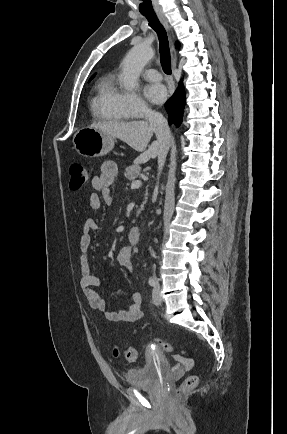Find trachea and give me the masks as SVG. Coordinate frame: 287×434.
<instances>
[{"instance_id":"1","label":"trachea","mask_w":287,"mask_h":434,"mask_svg":"<svg viewBox=\"0 0 287 434\" xmlns=\"http://www.w3.org/2000/svg\"><path fill=\"white\" fill-rule=\"evenodd\" d=\"M147 18L149 25L156 31L159 39V51H160V60L163 71L167 74H171V56L169 49V42L167 33L163 27V25L158 20L155 13L153 14H144Z\"/></svg>"}]
</instances>
